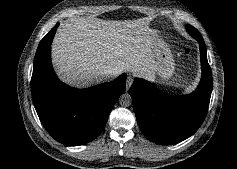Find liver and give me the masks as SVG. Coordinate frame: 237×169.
<instances>
[{"mask_svg": "<svg viewBox=\"0 0 237 169\" xmlns=\"http://www.w3.org/2000/svg\"><path fill=\"white\" fill-rule=\"evenodd\" d=\"M159 36L146 22L124 26L119 21L75 18L58 31L56 66L63 80L81 88L103 82L101 72L106 69L148 76L158 70L154 52Z\"/></svg>", "mask_w": 237, "mask_h": 169, "instance_id": "liver-1", "label": "liver"}]
</instances>
